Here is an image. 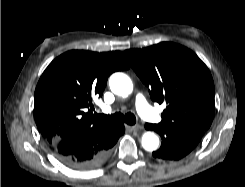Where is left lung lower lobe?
I'll return each instance as SVG.
<instances>
[{"mask_svg": "<svg viewBox=\"0 0 245 187\" xmlns=\"http://www.w3.org/2000/svg\"><path fill=\"white\" fill-rule=\"evenodd\" d=\"M145 128L157 132L162 138L160 149L152 155L157 159L173 161L188 155L198 145L204 133V130L195 128L171 129L161 123H146Z\"/></svg>", "mask_w": 245, "mask_h": 187, "instance_id": "obj_1", "label": "left lung lower lobe"}]
</instances>
